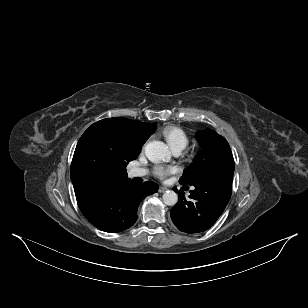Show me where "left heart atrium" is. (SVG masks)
I'll return each mask as SVG.
<instances>
[{
  "instance_id": "39dd6f15",
  "label": "left heart atrium",
  "mask_w": 308,
  "mask_h": 308,
  "mask_svg": "<svg viewBox=\"0 0 308 308\" xmlns=\"http://www.w3.org/2000/svg\"><path fill=\"white\" fill-rule=\"evenodd\" d=\"M175 172H177V167L175 166H157L154 170V174L160 179H165Z\"/></svg>"
}]
</instances>
